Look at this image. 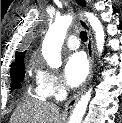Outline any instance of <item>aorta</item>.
Listing matches in <instances>:
<instances>
[{
    "mask_svg": "<svg viewBox=\"0 0 122 123\" xmlns=\"http://www.w3.org/2000/svg\"><path fill=\"white\" fill-rule=\"evenodd\" d=\"M90 26L95 32L96 46L99 56L102 54L105 43V33L100 20L92 13H85ZM72 23L71 16H63L56 20L50 27L43 42L42 55L51 68H59L62 64L61 48L69 26ZM92 87L81 97L70 116L69 123H81L91 99Z\"/></svg>",
    "mask_w": 122,
    "mask_h": 123,
    "instance_id": "aorta-1",
    "label": "aorta"
}]
</instances>
